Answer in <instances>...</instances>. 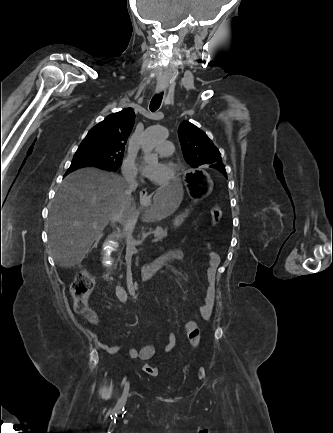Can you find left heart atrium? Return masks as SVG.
I'll use <instances>...</instances> for the list:
<instances>
[{
  "mask_svg": "<svg viewBox=\"0 0 333 433\" xmlns=\"http://www.w3.org/2000/svg\"><path fill=\"white\" fill-rule=\"evenodd\" d=\"M142 172L147 178L153 181L162 180V165L159 163H144Z\"/></svg>",
  "mask_w": 333,
  "mask_h": 433,
  "instance_id": "1",
  "label": "left heart atrium"
}]
</instances>
